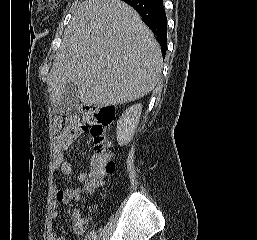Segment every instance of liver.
I'll return each mask as SVG.
<instances>
[{
    "instance_id": "1",
    "label": "liver",
    "mask_w": 257,
    "mask_h": 240,
    "mask_svg": "<svg viewBox=\"0 0 257 240\" xmlns=\"http://www.w3.org/2000/svg\"><path fill=\"white\" fill-rule=\"evenodd\" d=\"M162 53L138 13L121 0H85L73 12L48 78L52 104L74 83L87 105L144 97L159 82Z\"/></svg>"
}]
</instances>
